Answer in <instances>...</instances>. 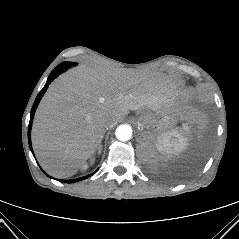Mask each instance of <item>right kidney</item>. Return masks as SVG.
<instances>
[{
    "mask_svg": "<svg viewBox=\"0 0 239 239\" xmlns=\"http://www.w3.org/2000/svg\"><path fill=\"white\" fill-rule=\"evenodd\" d=\"M93 162H94V159L91 160V163H93ZM81 168H82L83 170H86V169L88 168V165L85 164V163H83L82 166H81Z\"/></svg>",
    "mask_w": 239,
    "mask_h": 239,
    "instance_id": "ca27d5eb",
    "label": "right kidney"
}]
</instances>
